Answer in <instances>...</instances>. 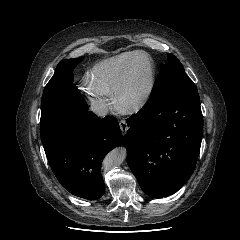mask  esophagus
I'll return each instance as SVG.
<instances>
[{"label":"esophagus","mask_w":240,"mask_h":240,"mask_svg":"<svg viewBox=\"0 0 240 240\" xmlns=\"http://www.w3.org/2000/svg\"><path fill=\"white\" fill-rule=\"evenodd\" d=\"M119 126H120L122 133L125 134L128 130V124H127L126 120H124V119L120 120Z\"/></svg>","instance_id":"obj_1"}]
</instances>
